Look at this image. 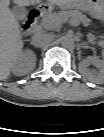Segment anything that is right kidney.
<instances>
[{
    "label": "right kidney",
    "instance_id": "right-kidney-1",
    "mask_svg": "<svg viewBox=\"0 0 104 137\" xmlns=\"http://www.w3.org/2000/svg\"><path fill=\"white\" fill-rule=\"evenodd\" d=\"M36 55L32 51H25L20 54L13 64L14 70L19 75H23L35 67Z\"/></svg>",
    "mask_w": 104,
    "mask_h": 137
}]
</instances>
